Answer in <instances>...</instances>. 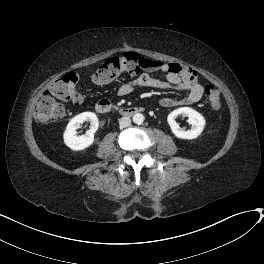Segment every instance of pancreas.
<instances>
[{"label": "pancreas", "instance_id": "cf45deb5", "mask_svg": "<svg viewBox=\"0 0 264 264\" xmlns=\"http://www.w3.org/2000/svg\"><path fill=\"white\" fill-rule=\"evenodd\" d=\"M115 109H118V107L114 106Z\"/></svg>", "mask_w": 264, "mask_h": 264}]
</instances>
